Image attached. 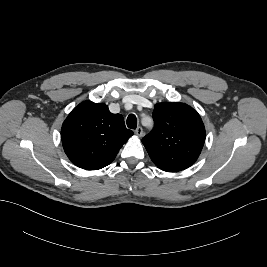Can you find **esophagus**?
<instances>
[{"mask_svg": "<svg viewBox=\"0 0 267 267\" xmlns=\"http://www.w3.org/2000/svg\"><path fill=\"white\" fill-rule=\"evenodd\" d=\"M135 134L139 137H141L143 135V129L142 127H137V129L135 130Z\"/></svg>", "mask_w": 267, "mask_h": 267, "instance_id": "34e87169", "label": "esophagus"}]
</instances>
